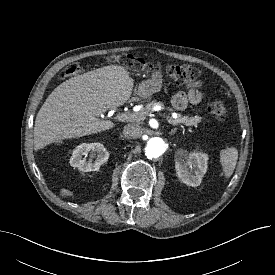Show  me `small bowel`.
<instances>
[{"label": "small bowel", "instance_id": "obj_1", "mask_svg": "<svg viewBox=\"0 0 275 275\" xmlns=\"http://www.w3.org/2000/svg\"><path fill=\"white\" fill-rule=\"evenodd\" d=\"M201 83L191 85L186 92H178L172 99L173 106L178 110H183L188 103L198 104L203 99V92L200 89Z\"/></svg>", "mask_w": 275, "mask_h": 275}]
</instances>
